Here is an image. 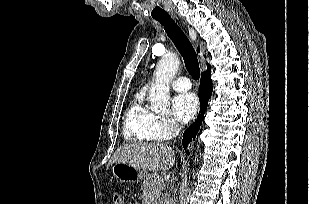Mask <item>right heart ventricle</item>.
<instances>
[{
    "label": "right heart ventricle",
    "instance_id": "obj_1",
    "mask_svg": "<svg viewBox=\"0 0 309 204\" xmlns=\"http://www.w3.org/2000/svg\"><path fill=\"white\" fill-rule=\"evenodd\" d=\"M155 119L156 115L144 105L142 97H137L126 113L124 138L134 142L153 140L152 127Z\"/></svg>",
    "mask_w": 309,
    "mask_h": 204
}]
</instances>
